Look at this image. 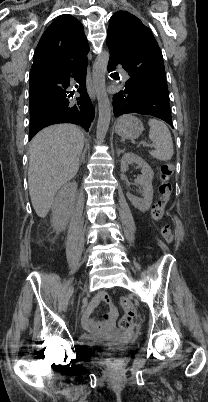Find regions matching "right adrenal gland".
<instances>
[{"label":"right adrenal gland","instance_id":"1","mask_svg":"<svg viewBox=\"0 0 208 402\" xmlns=\"http://www.w3.org/2000/svg\"><path fill=\"white\" fill-rule=\"evenodd\" d=\"M85 152H86V150H84V152L81 156L80 164H82V162H84V160H85Z\"/></svg>","mask_w":208,"mask_h":402}]
</instances>
